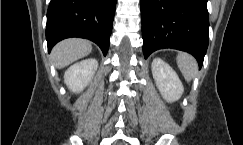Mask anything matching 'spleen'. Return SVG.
Listing matches in <instances>:
<instances>
[{
  "label": "spleen",
  "mask_w": 243,
  "mask_h": 145,
  "mask_svg": "<svg viewBox=\"0 0 243 145\" xmlns=\"http://www.w3.org/2000/svg\"><path fill=\"white\" fill-rule=\"evenodd\" d=\"M177 65L186 81H191L198 70L196 60L187 53H179L177 56Z\"/></svg>",
  "instance_id": "obj_1"
}]
</instances>
